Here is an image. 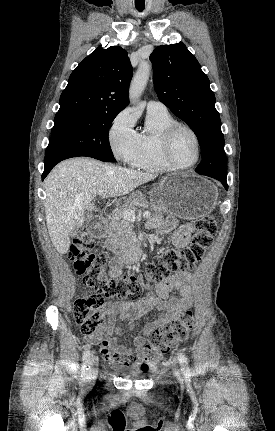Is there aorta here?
<instances>
[{
	"label": "aorta",
	"instance_id": "762f6f07",
	"mask_svg": "<svg viewBox=\"0 0 275 431\" xmlns=\"http://www.w3.org/2000/svg\"><path fill=\"white\" fill-rule=\"evenodd\" d=\"M151 66L147 62L140 64L136 74L134 75L129 89V99L131 103H137L139 97L144 91L149 79Z\"/></svg>",
	"mask_w": 275,
	"mask_h": 431
}]
</instances>
